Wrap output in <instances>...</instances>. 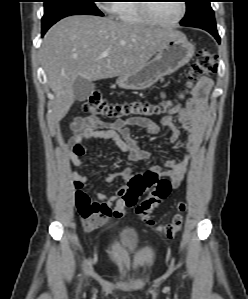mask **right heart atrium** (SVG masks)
<instances>
[{"label":"right heart atrium","instance_id":"1","mask_svg":"<svg viewBox=\"0 0 248 299\" xmlns=\"http://www.w3.org/2000/svg\"><path fill=\"white\" fill-rule=\"evenodd\" d=\"M113 4H114V3H113ZM107 5H112V4L109 3V4H107ZM105 9L111 11V7H110V8L105 7Z\"/></svg>","mask_w":248,"mask_h":299}]
</instances>
